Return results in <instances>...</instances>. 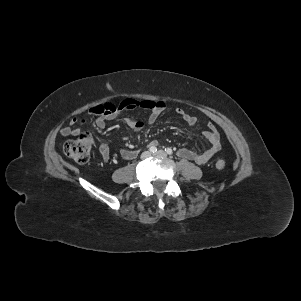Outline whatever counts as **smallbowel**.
<instances>
[{
  "label": "small bowel",
  "mask_w": 301,
  "mask_h": 301,
  "mask_svg": "<svg viewBox=\"0 0 301 301\" xmlns=\"http://www.w3.org/2000/svg\"><path fill=\"white\" fill-rule=\"evenodd\" d=\"M105 105H99L93 107L90 110L91 115H95V125L98 129H104L106 127V122L117 119L123 111H129L134 109H145L149 111V115L145 120H133L126 119L125 123L135 131H141L145 126L153 124L161 113L165 110V103L163 101H152L143 100L137 101L134 99H125L121 101L118 106H114V110L106 111ZM177 114L181 116L190 126L196 124V118L181 108L176 110ZM84 123L83 120L73 118L69 126L61 129L60 134L62 136H76L80 133L79 126ZM203 137L210 143V147L202 152H197L188 148H180L178 150V156L184 159L194 161L197 164H204L208 162L216 153L221 149L220 135L213 124L208 125V129L202 132ZM150 146L157 145L156 141L149 143ZM99 152L102 159L108 162L110 159V147L108 142H102L99 146ZM121 155L125 159L135 158L137 155L136 149H123Z\"/></svg>",
  "instance_id": "obj_1"
}]
</instances>
